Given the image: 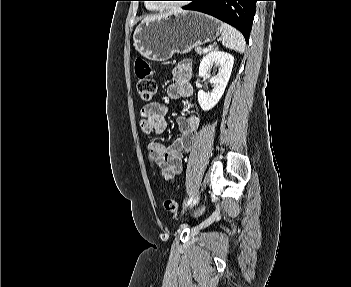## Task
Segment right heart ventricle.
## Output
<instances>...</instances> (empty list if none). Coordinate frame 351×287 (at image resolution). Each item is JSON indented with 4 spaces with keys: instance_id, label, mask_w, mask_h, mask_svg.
Here are the masks:
<instances>
[{
    "instance_id": "1",
    "label": "right heart ventricle",
    "mask_w": 351,
    "mask_h": 287,
    "mask_svg": "<svg viewBox=\"0 0 351 287\" xmlns=\"http://www.w3.org/2000/svg\"><path fill=\"white\" fill-rule=\"evenodd\" d=\"M148 8L150 9V10H155V11H159V9L157 8V7H154L153 5H148Z\"/></svg>"
}]
</instances>
